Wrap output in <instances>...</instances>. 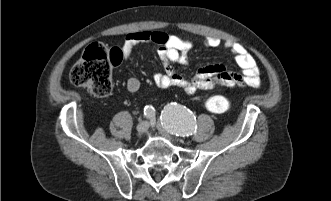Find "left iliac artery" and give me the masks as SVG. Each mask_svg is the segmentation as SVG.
<instances>
[{"label": "left iliac artery", "mask_w": 331, "mask_h": 201, "mask_svg": "<svg viewBox=\"0 0 331 201\" xmlns=\"http://www.w3.org/2000/svg\"><path fill=\"white\" fill-rule=\"evenodd\" d=\"M160 118L163 127L176 136H189L196 132L195 116L180 104H168L162 110Z\"/></svg>", "instance_id": "44dca946"}]
</instances>
